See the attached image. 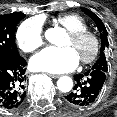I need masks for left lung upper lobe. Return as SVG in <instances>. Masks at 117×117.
Returning a JSON list of instances; mask_svg holds the SVG:
<instances>
[{
  "label": "left lung upper lobe",
  "mask_w": 117,
  "mask_h": 117,
  "mask_svg": "<svg viewBox=\"0 0 117 117\" xmlns=\"http://www.w3.org/2000/svg\"><path fill=\"white\" fill-rule=\"evenodd\" d=\"M83 12L86 13L91 19L94 20V22L96 23L99 31L101 32V50H100V57L99 59L96 61V63L93 65L92 69L93 70H100L103 72H108V63H107V59H106V49L108 48V40H107V31L106 28L104 26V24L102 23V21L98 18V16H96L93 12H91L90 10L86 9V8H82Z\"/></svg>",
  "instance_id": "5c2ea615"
}]
</instances>
